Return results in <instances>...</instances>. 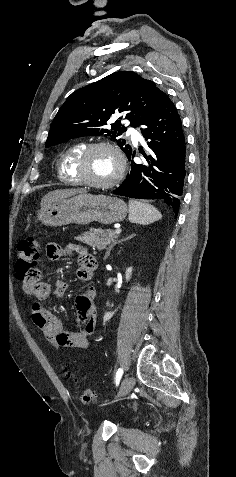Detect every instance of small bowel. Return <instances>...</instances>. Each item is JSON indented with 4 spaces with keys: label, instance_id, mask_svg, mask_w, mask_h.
<instances>
[{
    "label": "small bowel",
    "instance_id": "small-bowel-1",
    "mask_svg": "<svg viewBox=\"0 0 236 477\" xmlns=\"http://www.w3.org/2000/svg\"><path fill=\"white\" fill-rule=\"evenodd\" d=\"M71 255H75L78 258L77 278L81 281L91 280L95 270L96 259L84 246L77 243H69L62 247L54 242L47 245V256L51 260H60ZM24 289L34 298L31 305V317L34 325L51 343L55 351L61 348L75 347L86 349L89 347L90 339L96 329V306L93 299L94 288H88L76 298L75 306L78 323L75 330L64 329L62 323L46 305V300L51 293L58 300L65 296L68 289L66 281L62 279L55 280L53 290H51L48 283L42 281H40L39 286L32 293L27 291L25 287Z\"/></svg>",
    "mask_w": 236,
    "mask_h": 477
}]
</instances>
